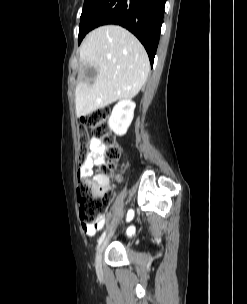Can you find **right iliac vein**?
Instances as JSON below:
<instances>
[{
    "mask_svg": "<svg viewBox=\"0 0 247 304\" xmlns=\"http://www.w3.org/2000/svg\"><path fill=\"white\" fill-rule=\"evenodd\" d=\"M111 235H112V232L106 237V239L103 241L102 245L100 246V248H99V250L97 252V255H96V268L98 270L101 269L102 252L105 249V247L107 246L108 241H109Z\"/></svg>",
    "mask_w": 247,
    "mask_h": 304,
    "instance_id": "63e3f726",
    "label": "right iliac vein"
}]
</instances>
